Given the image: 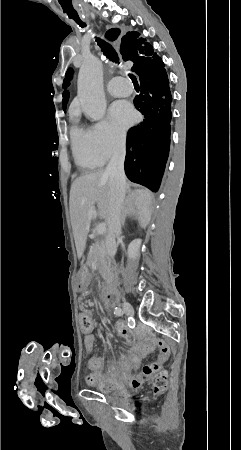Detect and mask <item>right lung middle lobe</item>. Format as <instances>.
I'll return each mask as SVG.
<instances>
[{"mask_svg": "<svg viewBox=\"0 0 241 450\" xmlns=\"http://www.w3.org/2000/svg\"><path fill=\"white\" fill-rule=\"evenodd\" d=\"M69 80H71V79H69ZM69 80L63 82V88H67L69 86V84H70ZM68 98H69V92L67 90H65L63 92V101H62L64 110L66 109V104L68 102Z\"/></svg>", "mask_w": 241, "mask_h": 450, "instance_id": "dd1d6c3e", "label": "right lung middle lobe"}]
</instances>
